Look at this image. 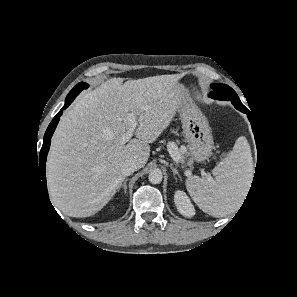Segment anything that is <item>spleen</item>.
Masks as SVG:
<instances>
[{"label":"spleen","mask_w":297,"mask_h":297,"mask_svg":"<svg viewBox=\"0 0 297 297\" xmlns=\"http://www.w3.org/2000/svg\"><path fill=\"white\" fill-rule=\"evenodd\" d=\"M214 178L191 176L187 190L205 213L223 217L238 209L244 199L252 176L253 160L245 137H239L233 150L212 170Z\"/></svg>","instance_id":"obj_1"}]
</instances>
